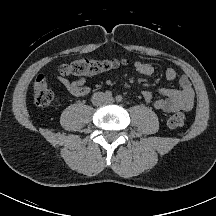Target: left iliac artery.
Returning <instances> with one entry per match:
<instances>
[{
	"instance_id": "44dca946",
	"label": "left iliac artery",
	"mask_w": 216,
	"mask_h": 216,
	"mask_svg": "<svg viewBox=\"0 0 216 216\" xmlns=\"http://www.w3.org/2000/svg\"><path fill=\"white\" fill-rule=\"evenodd\" d=\"M123 100L122 96L121 95H117L116 96V101L117 102H121Z\"/></svg>"
}]
</instances>
